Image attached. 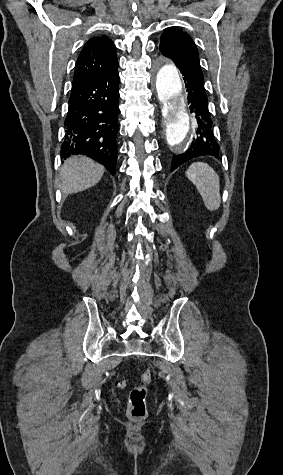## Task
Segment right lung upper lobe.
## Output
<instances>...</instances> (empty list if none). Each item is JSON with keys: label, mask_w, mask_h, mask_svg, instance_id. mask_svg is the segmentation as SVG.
Masks as SVG:
<instances>
[{"label": "right lung upper lobe", "mask_w": 283, "mask_h": 475, "mask_svg": "<svg viewBox=\"0 0 283 475\" xmlns=\"http://www.w3.org/2000/svg\"><path fill=\"white\" fill-rule=\"evenodd\" d=\"M118 68L115 46L106 36L93 37L87 41L75 65L74 78L98 76Z\"/></svg>", "instance_id": "obj_1"}]
</instances>
